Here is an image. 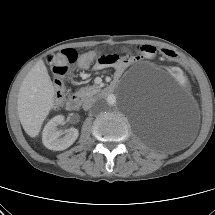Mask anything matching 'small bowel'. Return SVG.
Returning a JSON list of instances; mask_svg holds the SVG:
<instances>
[{
  "instance_id": "1",
  "label": "small bowel",
  "mask_w": 215,
  "mask_h": 215,
  "mask_svg": "<svg viewBox=\"0 0 215 215\" xmlns=\"http://www.w3.org/2000/svg\"><path fill=\"white\" fill-rule=\"evenodd\" d=\"M158 51L156 47L152 45H141L138 48V56H125L119 57L118 55L111 54L102 56L95 63L94 68L97 70L104 69L107 67H113L117 75L122 74V72L129 67L132 63L141 59H153L156 58ZM82 67H86L81 65Z\"/></svg>"
}]
</instances>
